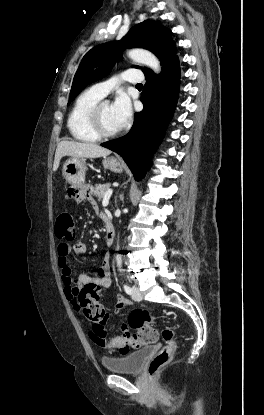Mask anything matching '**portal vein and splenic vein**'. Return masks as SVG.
Segmentation results:
<instances>
[{
  "instance_id": "portal-vein-and-splenic-vein-1",
  "label": "portal vein and splenic vein",
  "mask_w": 264,
  "mask_h": 415,
  "mask_svg": "<svg viewBox=\"0 0 264 415\" xmlns=\"http://www.w3.org/2000/svg\"><path fill=\"white\" fill-rule=\"evenodd\" d=\"M112 192H113V190H112V189H108V191L105 193V196H104V198H103V200H102V205H103L104 207H106V206L108 205V203H109V199H110V197H111V195H112Z\"/></svg>"
}]
</instances>
